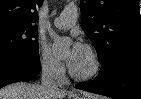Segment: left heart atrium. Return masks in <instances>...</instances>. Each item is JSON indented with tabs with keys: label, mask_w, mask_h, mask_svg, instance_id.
<instances>
[{
	"label": "left heart atrium",
	"mask_w": 141,
	"mask_h": 99,
	"mask_svg": "<svg viewBox=\"0 0 141 99\" xmlns=\"http://www.w3.org/2000/svg\"><path fill=\"white\" fill-rule=\"evenodd\" d=\"M84 51V46L78 42V41H73L71 43L69 52L66 57V61L69 67H74V65L77 63L79 58L81 57L82 53Z\"/></svg>",
	"instance_id": "1"
}]
</instances>
